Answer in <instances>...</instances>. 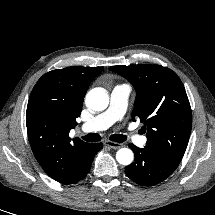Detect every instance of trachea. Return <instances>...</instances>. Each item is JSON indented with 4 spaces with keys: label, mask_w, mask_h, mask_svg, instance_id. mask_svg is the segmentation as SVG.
I'll use <instances>...</instances> for the list:
<instances>
[{
    "label": "trachea",
    "mask_w": 215,
    "mask_h": 215,
    "mask_svg": "<svg viewBox=\"0 0 215 215\" xmlns=\"http://www.w3.org/2000/svg\"><path fill=\"white\" fill-rule=\"evenodd\" d=\"M82 138L88 142H98L101 140L100 135L97 133H90ZM126 139H127V137L125 135H121V134H113L110 136V140H112L114 142H119V143L126 141Z\"/></svg>",
    "instance_id": "trachea-1"
}]
</instances>
